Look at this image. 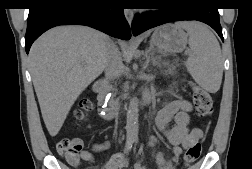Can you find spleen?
Wrapping results in <instances>:
<instances>
[{
  "mask_svg": "<svg viewBox=\"0 0 252 169\" xmlns=\"http://www.w3.org/2000/svg\"><path fill=\"white\" fill-rule=\"evenodd\" d=\"M177 25L189 36L190 57L185 63L188 72L201 88L216 93L223 76V58L218 40L201 23L179 22Z\"/></svg>",
  "mask_w": 252,
  "mask_h": 169,
  "instance_id": "1",
  "label": "spleen"
}]
</instances>
